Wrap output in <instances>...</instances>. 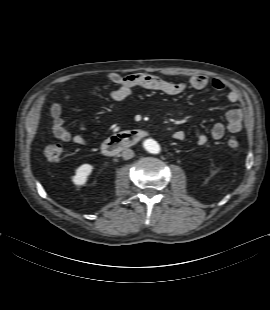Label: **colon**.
Instances as JSON below:
<instances>
[{"instance_id": "colon-1", "label": "colon", "mask_w": 270, "mask_h": 310, "mask_svg": "<svg viewBox=\"0 0 270 310\" xmlns=\"http://www.w3.org/2000/svg\"><path fill=\"white\" fill-rule=\"evenodd\" d=\"M227 146L232 150H236L240 146V141L237 137L234 136L229 137L227 139ZM63 155H64V148L60 144L53 143L48 145L45 149V156L49 161L52 162L60 161Z\"/></svg>"}]
</instances>
